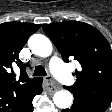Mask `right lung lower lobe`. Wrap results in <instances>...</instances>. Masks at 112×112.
<instances>
[{"label": "right lung lower lobe", "mask_w": 112, "mask_h": 112, "mask_svg": "<svg viewBox=\"0 0 112 112\" xmlns=\"http://www.w3.org/2000/svg\"><path fill=\"white\" fill-rule=\"evenodd\" d=\"M42 83L37 87V89L34 91V93L30 96L26 104L24 105L23 109L21 112H33V105H32V100L34 96L41 94L42 92Z\"/></svg>", "instance_id": "obj_1"}]
</instances>
